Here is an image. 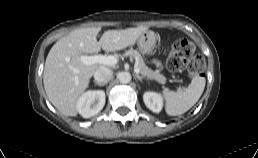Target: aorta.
Segmentation results:
<instances>
[{
    "label": "aorta",
    "instance_id": "aorta-1",
    "mask_svg": "<svg viewBox=\"0 0 258 158\" xmlns=\"http://www.w3.org/2000/svg\"><path fill=\"white\" fill-rule=\"evenodd\" d=\"M131 78V74L127 71H122L118 74V79L121 83H129Z\"/></svg>",
    "mask_w": 258,
    "mask_h": 158
}]
</instances>
